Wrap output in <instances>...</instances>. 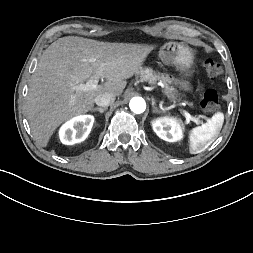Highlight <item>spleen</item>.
<instances>
[{"instance_id":"1","label":"spleen","mask_w":253,"mask_h":253,"mask_svg":"<svg viewBox=\"0 0 253 253\" xmlns=\"http://www.w3.org/2000/svg\"><path fill=\"white\" fill-rule=\"evenodd\" d=\"M224 122V115L218 112L205 124L195 127L189 135V152L197 154L203 152L208 144L219 135Z\"/></svg>"}]
</instances>
